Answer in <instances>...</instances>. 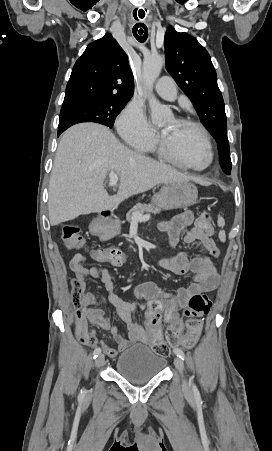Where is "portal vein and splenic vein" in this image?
Returning <instances> with one entry per match:
<instances>
[{
  "mask_svg": "<svg viewBox=\"0 0 272 451\" xmlns=\"http://www.w3.org/2000/svg\"><path fill=\"white\" fill-rule=\"evenodd\" d=\"M109 178H110L109 186H116L118 182L117 174H114V172H110ZM132 216H133L132 224H138V222H148V220H150V214H145V216H143V214H139V212H133Z\"/></svg>",
  "mask_w": 272,
  "mask_h": 451,
  "instance_id": "portal-vein-and-splenic-vein-1",
  "label": "portal vein and splenic vein"
}]
</instances>
